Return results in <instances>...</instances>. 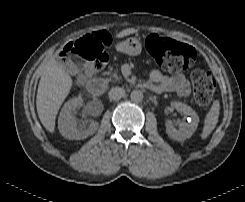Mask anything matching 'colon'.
I'll list each match as a JSON object with an SVG mask.
<instances>
[{
  "mask_svg": "<svg viewBox=\"0 0 245 202\" xmlns=\"http://www.w3.org/2000/svg\"><path fill=\"white\" fill-rule=\"evenodd\" d=\"M110 43L109 36L103 32L87 35L70 41L64 48L62 57L66 62L70 58L86 60V65H78L74 69V76L78 77L87 70L97 71L107 64ZM146 48L151 59L169 72L188 70L198 57L196 49L192 46L172 40H161L154 35L148 38ZM192 80L196 103L208 110L216 88L215 79L209 72L197 69L192 73Z\"/></svg>",
  "mask_w": 245,
  "mask_h": 202,
  "instance_id": "obj_1",
  "label": "colon"
}]
</instances>
